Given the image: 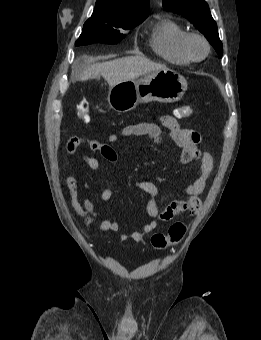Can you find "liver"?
<instances>
[{
    "label": "liver",
    "instance_id": "6515ba94",
    "mask_svg": "<svg viewBox=\"0 0 261 340\" xmlns=\"http://www.w3.org/2000/svg\"><path fill=\"white\" fill-rule=\"evenodd\" d=\"M167 69L165 65L155 63L144 56H129L108 62L94 63L86 67L79 75L80 81L102 76L109 87L139 76Z\"/></svg>",
    "mask_w": 261,
    "mask_h": 340
}]
</instances>
